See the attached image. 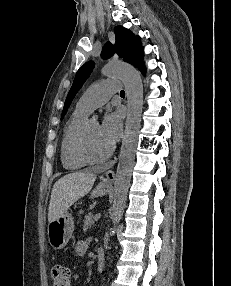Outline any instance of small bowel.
<instances>
[{
    "label": "small bowel",
    "mask_w": 231,
    "mask_h": 286,
    "mask_svg": "<svg viewBox=\"0 0 231 286\" xmlns=\"http://www.w3.org/2000/svg\"><path fill=\"white\" fill-rule=\"evenodd\" d=\"M87 248H88V243L86 241H78L74 246V252L78 256H83L85 255Z\"/></svg>",
    "instance_id": "obj_1"
}]
</instances>
